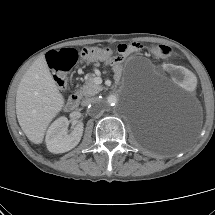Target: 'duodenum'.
Masks as SVG:
<instances>
[{
  "label": "duodenum",
  "instance_id": "duodenum-1",
  "mask_svg": "<svg viewBox=\"0 0 215 215\" xmlns=\"http://www.w3.org/2000/svg\"><path fill=\"white\" fill-rule=\"evenodd\" d=\"M80 96L78 94L71 95L65 105L67 111H73L79 105Z\"/></svg>",
  "mask_w": 215,
  "mask_h": 215
}]
</instances>
